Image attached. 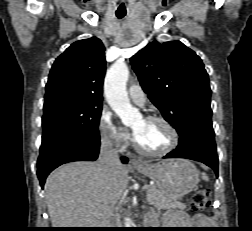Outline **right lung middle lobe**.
<instances>
[{
	"label": "right lung middle lobe",
	"instance_id": "1",
	"mask_svg": "<svg viewBox=\"0 0 252 231\" xmlns=\"http://www.w3.org/2000/svg\"><path fill=\"white\" fill-rule=\"evenodd\" d=\"M43 110L42 142L64 134L100 139L102 102L58 95L45 99Z\"/></svg>",
	"mask_w": 252,
	"mask_h": 231
}]
</instances>
